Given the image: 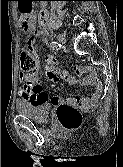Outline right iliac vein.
Returning a JSON list of instances; mask_svg holds the SVG:
<instances>
[{
    "label": "right iliac vein",
    "instance_id": "obj_1",
    "mask_svg": "<svg viewBox=\"0 0 123 167\" xmlns=\"http://www.w3.org/2000/svg\"><path fill=\"white\" fill-rule=\"evenodd\" d=\"M57 38H58V41L61 44H65L66 43V39H65V37L63 35L60 34V35L57 36Z\"/></svg>",
    "mask_w": 123,
    "mask_h": 167
}]
</instances>
